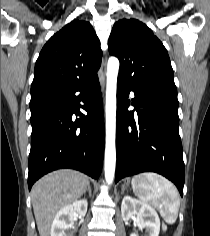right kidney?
Masks as SVG:
<instances>
[{"instance_id":"ca27d5eb","label":"right kidney","mask_w":210,"mask_h":236,"mask_svg":"<svg viewBox=\"0 0 210 236\" xmlns=\"http://www.w3.org/2000/svg\"><path fill=\"white\" fill-rule=\"evenodd\" d=\"M87 207V200L82 199L60 209L51 225V236H66V230L73 227L74 218L78 215L85 216Z\"/></svg>"}]
</instances>
